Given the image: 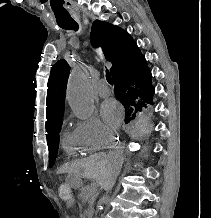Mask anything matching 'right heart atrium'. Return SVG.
Segmentation results:
<instances>
[{
  "label": "right heart atrium",
  "instance_id": "obj_1",
  "mask_svg": "<svg viewBox=\"0 0 211 218\" xmlns=\"http://www.w3.org/2000/svg\"><path fill=\"white\" fill-rule=\"evenodd\" d=\"M73 134L82 144L95 149L109 145L113 139L110 130L95 115L79 119Z\"/></svg>",
  "mask_w": 211,
  "mask_h": 218
}]
</instances>
